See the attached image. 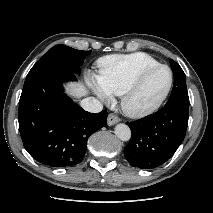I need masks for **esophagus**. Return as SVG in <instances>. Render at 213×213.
<instances>
[{"instance_id": "esophagus-1", "label": "esophagus", "mask_w": 213, "mask_h": 213, "mask_svg": "<svg viewBox=\"0 0 213 213\" xmlns=\"http://www.w3.org/2000/svg\"><path fill=\"white\" fill-rule=\"evenodd\" d=\"M117 122H119V118L116 115H114L112 113L108 115L107 124L109 126H112V125L116 124Z\"/></svg>"}]
</instances>
